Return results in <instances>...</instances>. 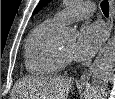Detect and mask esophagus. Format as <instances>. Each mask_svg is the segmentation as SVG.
<instances>
[{
  "instance_id": "34e87169",
  "label": "esophagus",
  "mask_w": 115,
  "mask_h": 99,
  "mask_svg": "<svg viewBox=\"0 0 115 99\" xmlns=\"http://www.w3.org/2000/svg\"><path fill=\"white\" fill-rule=\"evenodd\" d=\"M109 6H110V10H109V18H108V22H107V36H106V40L108 39V37L110 36V33L112 31L113 28V23H114V17H115V2L114 0H109ZM94 65L95 63H93L89 69L87 71H85L80 79H79V83L81 84H88L91 75L93 73L94 70Z\"/></svg>"
}]
</instances>
